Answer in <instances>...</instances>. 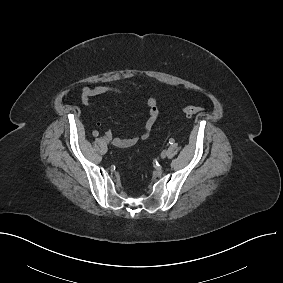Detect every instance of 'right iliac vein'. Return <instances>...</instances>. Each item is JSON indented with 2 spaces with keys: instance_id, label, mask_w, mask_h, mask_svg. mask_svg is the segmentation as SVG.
Wrapping results in <instances>:
<instances>
[{
  "instance_id": "obj_1",
  "label": "right iliac vein",
  "mask_w": 283,
  "mask_h": 283,
  "mask_svg": "<svg viewBox=\"0 0 283 283\" xmlns=\"http://www.w3.org/2000/svg\"><path fill=\"white\" fill-rule=\"evenodd\" d=\"M104 141H105L106 143H109V142H110L109 137H104Z\"/></svg>"
}]
</instances>
